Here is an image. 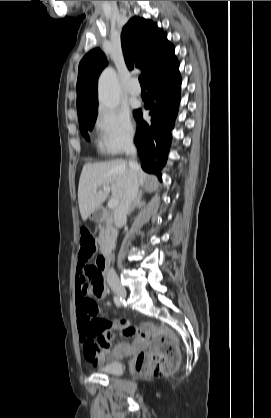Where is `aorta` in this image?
<instances>
[{
    "instance_id": "obj_1",
    "label": "aorta",
    "mask_w": 271,
    "mask_h": 418,
    "mask_svg": "<svg viewBox=\"0 0 271 418\" xmlns=\"http://www.w3.org/2000/svg\"><path fill=\"white\" fill-rule=\"evenodd\" d=\"M98 95L100 104L108 109L119 106L120 95L116 74L113 69L107 68L100 75L98 81Z\"/></svg>"
}]
</instances>
